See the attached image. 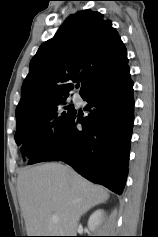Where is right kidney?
Returning a JSON list of instances; mask_svg holds the SVG:
<instances>
[{
	"instance_id": "1",
	"label": "right kidney",
	"mask_w": 158,
	"mask_h": 237,
	"mask_svg": "<svg viewBox=\"0 0 158 237\" xmlns=\"http://www.w3.org/2000/svg\"><path fill=\"white\" fill-rule=\"evenodd\" d=\"M104 215V211L99 209L93 212L88 220V227L90 230H94L101 222Z\"/></svg>"
}]
</instances>
